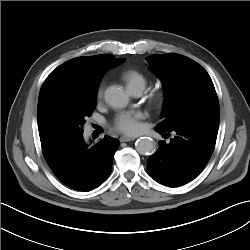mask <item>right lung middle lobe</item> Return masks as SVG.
<instances>
[{
    "label": "right lung middle lobe",
    "mask_w": 250,
    "mask_h": 250,
    "mask_svg": "<svg viewBox=\"0 0 250 250\" xmlns=\"http://www.w3.org/2000/svg\"><path fill=\"white\" fill-rule=\"evenodd\" d=\"M96 95L97 92L76 96L60 108L49 121L41 141L82 134L85 118L89 117L95 108Z\"/></svg>",
    "instance_id": "1"
}]
</instances>
